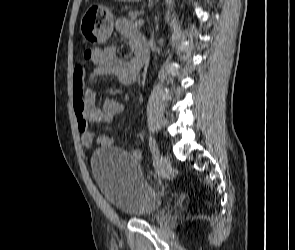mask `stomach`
I'll return each instance as SVG.
<instances>
[{"mask_svg":"<svg viewBox=\"0 0 295 250\" xmlns=\"http://www.w3.org/2000/svg\"><path fill=\"white\" fill-rule=\"evenodd\" d=\"M114 17L110 9L101 4H93L84 13L80 31L83 37L95 45H102L112 34Z\"/></svg>","mask_w":295,"mask_h":250,"instance_id":"1","label":"stomach"}]
</instances>
